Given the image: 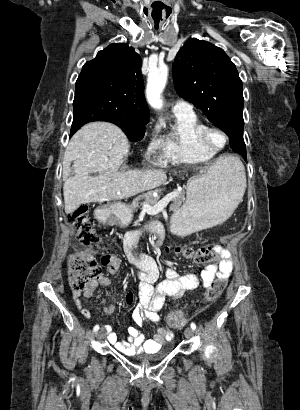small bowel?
I'll return each mask as SVG.
<instances>
[{
    "mask_svg": "<svg viewBox=\"0 0 300 410\" xmlns=\"http://www.w3.org/2000/svg\"><path fill=\"white\" fill-rule=\"evenodd\" d=\"M137 243L136 235H130L126 239V245L130 249L129 258L138 268L139 279V302L132 312L135 325L128 327L129 340H119L110 325H104L102 328L106 332L108 341L118 351L126 355L154 352L162 343L172 339L173 332L161 325L156 327L153 338H146L141 330L146 321L159 322L158 312L163 308L167 297L178 298L188 291L198 288L206 289L214 280L224 279L227 281L233 272V259L230 252L221 249L219 261L207 265L199 275L180 274L168 269L164 280L158 282L159 269L156 263L148 255L135 250ZM79 253L85 252L79 251ZM109 285L110 280L105 276H100L88 285L82 295L84 298H91L100 286L108 287ZM73 300L81 314L87 319L90 318V309L83 307L80 292H73ZM132 303L133 295L128 293L125 296V304L130 306ZM114 308V304L111 303L105 308V312L112 313Z\"/></svg>",
    "mask_w": 300,
    "mask_h": 410,
    "instance_id": "1",
    "label": "small bowel"
}]
</instances>
